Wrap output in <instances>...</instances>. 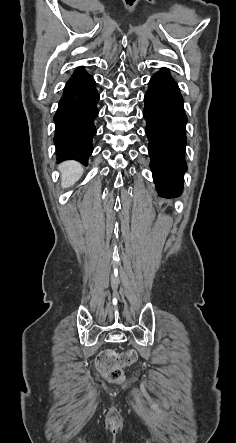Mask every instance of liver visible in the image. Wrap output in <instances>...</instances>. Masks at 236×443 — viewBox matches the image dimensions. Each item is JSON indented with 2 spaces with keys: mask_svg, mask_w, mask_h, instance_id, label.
Instances as JSON below:
<instances>
[{
  "mask_svg": "<svg viewBox=\"0 0 236 443\" xmlns=\"http://www.w3.org/2000/svg\"><path fill=\"white\" fill-rule=\"evenodd\" d=\"M61 171V185L67 188L75 184L83 174L81 164L76 161H66L59 165Z\"/></svg>",
  "mask_w": 236,
  "mask_h": 443,
  "instance_id": "1",
  "label": "liver"
}]
</instances>
